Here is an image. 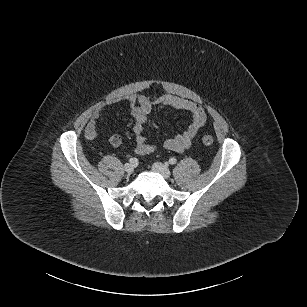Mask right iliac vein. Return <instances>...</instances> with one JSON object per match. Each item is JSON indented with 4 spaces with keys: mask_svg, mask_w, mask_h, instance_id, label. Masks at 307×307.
Here are the masks:
<instances>
[{
    "mask_svg": "<svg viewBox=\"0 0 307 307\" xmlns=\"http://www.w3.org/2000/svg\"><path fill=\"white\" fill-rule=\"evenodd\" d=\"M124 170H125L128 174H131V173H133V171H134V167H133L132 164L126 163V164L124 165Z\"/></svg>",
    "mask_w": 307,
    "mask_h": 307,
    "instance_id": "1",
    "label": "right iliac vein"
}]
</instances>
